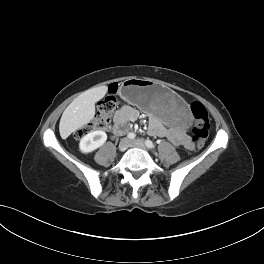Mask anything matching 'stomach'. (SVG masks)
<instances>
[{
	"label": "stomach",
	"instance_id": "0dacf381",
	"mask_svg": "<svg viewBox=\"0 0 264 264\" xmlns=\"http://www.w3.org/2000/svg\"><path fill=\"white\" fill-rule=\"evenodd\" d=\"M120 96L142 111L160 118L167 127L186 132L194 126V114L184 101L172 90L151 79H126L121 84Z\"/></svg>",
	"mask_w": 264,
	"mask_h": 264
}]
</instances>
